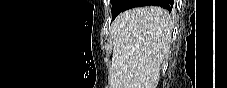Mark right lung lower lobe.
<instances>
[{"instance_id": "1", "label": "right lung lower lobe", "mask_w": 227, "mask_h": 88, "mask_svg": "<svg viewBox=\"0 0 227 88\" xmlns=\"http://www.w3.org/2000/svg\"><path fill=\"white\" fill-rule=\"evenodd\" d=\"M145 5H157L171 11L173 7V0H130L124 10Z\"/></svg>"}]
</instances>
